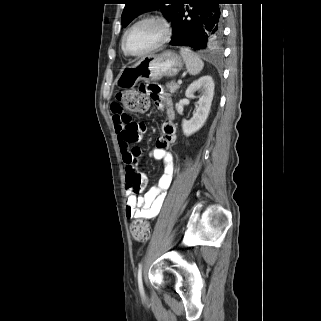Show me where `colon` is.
Returning <instances> with one entry per match:
<instances>
[{"mask_svg": "<svg viewBox=\"0 0 321 321\" xmlns=\"http://www.w3.org/2000/svg\"><path fill=\"white\" fill-rule=\"evenodd\" d=\"M117 100L120 112L129 117L131 114L145 112L149 106V98H143L142 93H138L137 90L121 92L117 95ZM145 185L146 177L137 169V166L131 167L127 172V187L133 192H139ZM151 231V226L146 221L136 220L131 224V234L139 242L148 241Z\"/></svg>", "mask_w": 321, "mask_h": 321, "instance_id": "colon-1", "label": "colon"}]
</instances>
